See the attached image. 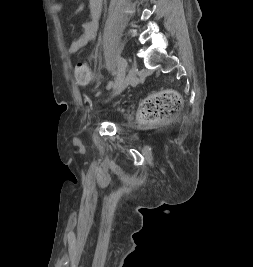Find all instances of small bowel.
Masks as SVG:
<instances>
[{
	"label": "small bowel",
	"instance_id": "small-bowel-1",
	"mask_svg": "<svg viewBox=\"0 0 253 267\" xmlns=\"http://www.w3.org/2000/svg\"><path fill=\"white\" fill-rule=\"evenodd\" d=\"M63 7L60 3H54L52 5V11L55 14H59ZM102 10V0H89V17L81 25V33L78 38L73 40L69 45V53H76L88 43H90L96 36L99 19Z\"/></svg>",
	"mask_w": 253,
	"mask_h": 267
}]
</instances>
